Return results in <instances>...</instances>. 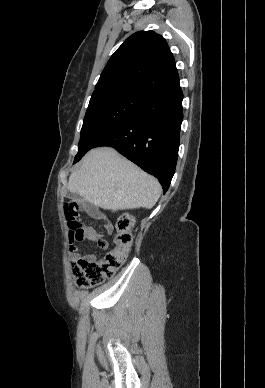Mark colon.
<instances>
[{"label":"colon","instance_id":"colon-1","mask_svg":"<svg viewBox=\"0 0 265 388\" xmlns=\"http://www.w3.org/2000/svg\"><path fill=\"white\" fill-rule=\"evenodd\" d=\"M65 217L69 227V241H82L88 238V229L78 219V204L69 201L64 205ZM135 220L129 213H121L115 224L114 247L109 249L100 260L76 258L71 263L72 274L80 288L99 286L124 263L134 240ZM73 246H71L72 249Z\"/></svg>","mask_w":265,"mask_h":388}]
</instances>
